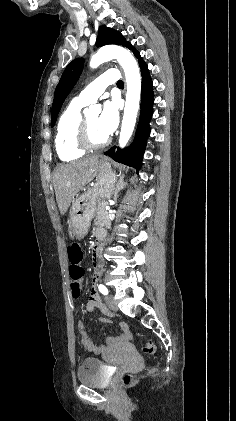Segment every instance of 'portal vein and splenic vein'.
<instances>
[{
    "mask_svg": "<svg viewBox=\"0 0 236 421\" xmlns=\"http://www.w3.org/2000/svg\"><path fill=\"white\" fill-rule=\"evenodd\" d=\"M105 208H106V210H107V211H110V210H111V207H110V205H109V204H106V205H105Z\"/></svg>",
    "mask_w": 236,
    "mask_h": 421,
    "instance_id": "1",
    "label": "portal vein and splenic vein"
}]
</instances>
